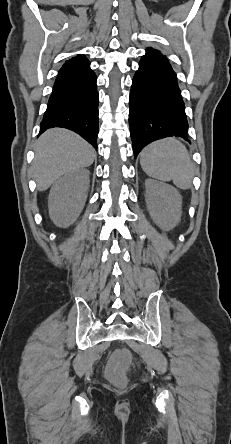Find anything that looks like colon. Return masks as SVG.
<instances>
[{"mask_svg":"<svg viewBox=\"0 0 231 444\" xmlns=\"http://www.w3.org/2000/svg\"><path fill=\"white\" fill-rule=\"evenodd\" d=\"M131 355L126 349L115 351L109 359L107 365V376L112 381L123 384L125 383V373L130 364Z\"/></svg>","mask_w":231,"mask_h":444,"instance_id":"colon-1","label":"colon"}]
</instances>
